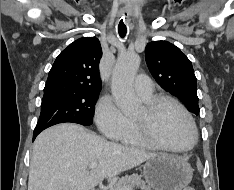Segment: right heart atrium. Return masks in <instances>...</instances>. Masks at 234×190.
Returning a JSON list of instances; mask_svg holds the SVG:
<instances>
[{"label": "right heart atrium", "mask_w": 234, "mask_h": 190, "mask_svg": "<svg viewBox=\"0 0 234 190\" xmlns=\"http://www.w3.org/2000/svg\"><path fill=\"white\" fill-rule=\"evenodd\" d=\"M94 116L99 130L109 139H119L127 125V117L119 109L113 98L108 95L99 99Z\"/></svg>", "instance_id": "1"}]
</instances>
